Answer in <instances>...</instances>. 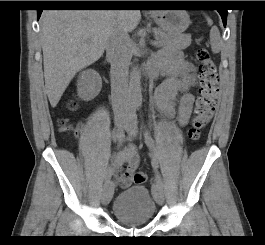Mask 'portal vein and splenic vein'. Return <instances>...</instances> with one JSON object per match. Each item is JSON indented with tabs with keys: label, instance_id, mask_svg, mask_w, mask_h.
<instances>
[{
	"label": "portal vein and splenic vein",
	"instance_id": "obj_1",
	"mask_svg": "<svg viewBox=\"0 0 265 245\" xmlns=\"http://www.w3.org/2000/svg\"><path fill=\"white\" fill-rule=\"evenodd\" d=\"M153 44L157 45L158 44V41L153 42Z\"/></svg>",
	"mask_w": 265,
	"mask_h": 245
}]
</instances>
